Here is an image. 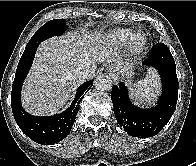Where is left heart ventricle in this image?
<instances>
[{
    "label": "left heart ventricle",
    "instance_id": "obj_1",
    "mask_svg": "<svg viewBox=\"0 0 196 166\" xmlns=\"http://www.w3.org/2000/svg\"><path fill=\"white\" fill-rule=\"evenodd\" d=\"M140 41H141L140 37L136 38V42H140Z\"/></svg>",
    "mask_w": 196,
    "mask_h": 166
}]
</instances>
